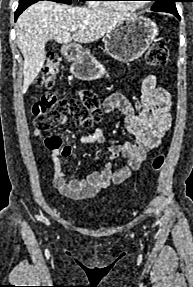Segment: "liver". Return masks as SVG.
<instances>
[{
  "instance_id": "6515ba94",
  "label": "liver",
  "mask_w": 193,
  "mask_h": 287,
  "mask_svg": "<svg viewBox=\"0 0 193 287\" xmlns=\"http://www.w3.org/2000/svg\"><path fill=\"white\" fill-rule=\"evenodd\" d=\"M134 15L105 9L72 7L54 2H37L28 7L16 22V42L23 57V87L27 89L44 66L45 44L92 43ZM77 27L71 35L70 29Z\"/></svg>"
}]
</instances>
